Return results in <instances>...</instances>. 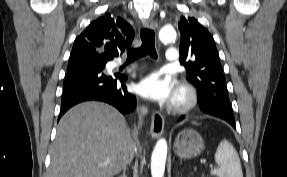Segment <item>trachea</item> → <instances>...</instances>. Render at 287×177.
I'll return each mask as SVG.
<instances>
[{"label":"trachea","instance_id":"obj_1","mask_svg":"<svg viewBox=\"0 0 287 177\" xmlns=\"http://www.w3.org/2000/svg\"><path fill=\"white\" fill-rule=\"evenodd\" d=\"M140 37L142 40L140 48H127V61H135L145 55L157 58L154 31L148 28H143L140 32Z\"/></svg>","mask_w":287,"mask_h":177}]
</instances>
